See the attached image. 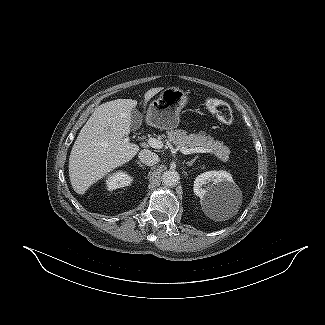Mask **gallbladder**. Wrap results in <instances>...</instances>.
Instances as JSON below:
<instances>
[{"label": "gallbladder", "mask_w": 325, "mask_h": 325, "mask_svg": "<svg viewBox=\"0 0 325 325\" xmlns=\"http://www.w3.org/2000/svg\"><path fill=\"white\" fill-rule=\"evenodd\" d=\"M142 122V115L136 109L131 111V127L136 130L140 127Z\"/></svg>", "instance_id": "1"}]
</instances>
